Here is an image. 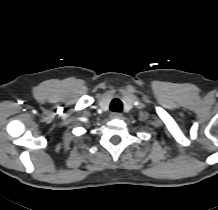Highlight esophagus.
Masks as SVG:
<instances>
[{"label": "esophagus", "mask_w": 218, "mask_h": 210, "mask_svg": "<svg viewBox=\"0 0 218 210\" xmlns=\"http://www.w3.org/2000/svg\"><path fill=\"white\" fill-rule=\"evenodd\" d=\"M111 117H112V118H120V117H122V114H121V113H118V112H113V113L111 114Z\"/></svg>", "instance_id": "obj_1"}]
</instances>
